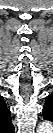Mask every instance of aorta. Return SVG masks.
Masks as SVG:
<instances>
[{"label": "aorta", "mask_w": 53, "mask_h": 133, "mask_svg": "<svg viewBox=\"0 0 53 133\" xmlns=\"http://www.w3.org/2000/svg\"><path fill=\"white\" fill-rule=\"evenodd\" d=\"M43 128H44V126H40V129H39V131H42V130H43Z\"/></svg>", "instance_id": "aorta-1"}]
</instances>
